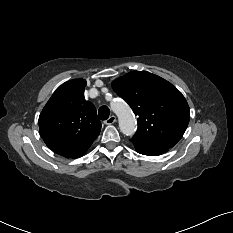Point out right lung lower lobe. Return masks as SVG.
I'll list each match as a JSON object with an SVG mask.
<instances>
[{"label":"right lung lower lobe","mask_w":233,"mask_h":233,"mask_svg":"<svg viewBox=\"0 0 233 233\" xmlns=\"http://www.w3.org/2000/svg\"><path fill=\"white\" fill-rule=\"evenodd\" d=\"M89 147L75 149V150H59V151H55V153L68 158H78L82 156L88 150Z\"/></svg>","instance_id":"right-lung-lower-lobe-1"}]
</instances>
